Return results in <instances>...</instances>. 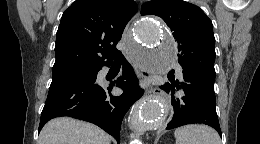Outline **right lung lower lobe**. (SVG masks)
<instances>
[{
    "instance_id": "obj_1",
    "label": "right lung lower lobe",
    "mask_w": 260,
    "mask_h": 144,
    "mask_svg": "<svg viewBox=\"0 0 260 144\" xmlns=\"http://www.w3.org/2000/svg\"><path fill=\"white\" fill-rule=\"evenodd\" d=\"M119 57L123 61V76L109 85L96 80L97 73L104 65L94 67V71L86 78H72L51 84L41 113L39 131L50 119L69 116L96 124L119 143L123 117L143 95L133 68L122 54ZM114 85L123 89L122 95L111 94Z\"/></svg>"
}]
</instances>
